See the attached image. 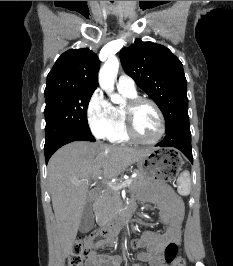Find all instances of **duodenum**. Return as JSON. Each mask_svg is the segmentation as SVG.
Masks as SVG:
<instances>
[{
  "mask_svg": "<svg viewBox=\"0 0 233 266\" xmlns=\"http://www.w3.org/2000/svg\"><path fill=\"white\" fill-rule=\"evenodd\" d=\"M100 197V191L94 190L92 192V198L95 202L99 200ZM133 214V206L132 205H126L120 209V213L118 216V219L116 222L113 223H107L104 224L100 232L101 234L107 239L112 240L113 237L117 234V232L120 230L122 224L124 221L128 218H130Z\"/></svg>",
  "mask_w": 233,
  "mask_h": 266,
  "instance_id": "410a0bca",
  "label": "duodenum"
}]
</instances>
